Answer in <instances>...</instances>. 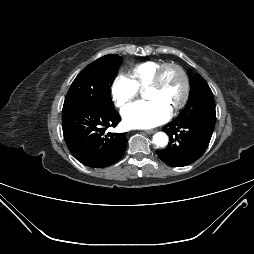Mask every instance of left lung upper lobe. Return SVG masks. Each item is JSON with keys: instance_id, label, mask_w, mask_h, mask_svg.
<instances>
[{"instance_id": "1", "label": "left lung upper lobe", "mask_w": 254, "mask_h": 254, "mask_svg": "<svg viewBox=\"0 0 254 254\" xmlns=\"http://www.w3.org/2000/svg\"><path fill=\"white\" fill-rule=\"evenodd\" d=\"M188 74L191 90L187 106L215 107L213 93L207 82L199 75H191L190 71Z\"/></svg>"}]
</instances>
